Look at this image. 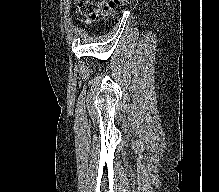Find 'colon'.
<instances>
[{
  "instance_id": "1",
  "label": "colon",
  "mask_w": 219,
  "mask_h": 192,
  "mask_svg": "<svg viewBox=\"0 0 219 192\" xmlns=\"http://www.w3.org/2000/svg\"><path fill=\"white\" fill-rule=\"evenodd\" d=\"M132 0H79L76 16L84 22L110 16L118 7Z\"/></svg>"
}]
</instances>
